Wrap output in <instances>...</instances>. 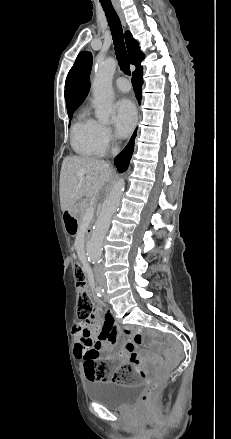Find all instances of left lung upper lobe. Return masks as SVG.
<instances>
[{
  "mask_svg": "<svg viewBox=\"0 0 231 439\" xmlns=\"http://www.w3.org/2000/svg\"><path fill=\"white\" fill-rule=\"evenodd\" d=\"M83 54H84V53H80V54L78 55V57H77V59H76V61H75V64H74V66L72 67L71 70H73V69L75 68V66L77 65V63L79 62V60H80V58L82 57ZM71 70H70V71H71Z\"/></svg>",
  "mask_w": 231,
  "mask_h": 439,
  "instance_id": "1",
  "label": "left lung upper lobe"
}]
</instances>
